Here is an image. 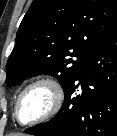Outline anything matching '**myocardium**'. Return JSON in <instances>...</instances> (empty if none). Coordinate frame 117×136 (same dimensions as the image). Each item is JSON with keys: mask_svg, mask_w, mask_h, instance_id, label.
<instances>
[{"mask_svg": "<svg viewBox=\"0 0 117 136\" xmlns=\"http://www.w3.org/2000/svg\"><path fill=\"white\" fill-rule=\"evenodd\" d=\"M38 86H43L46 87L48 90H50L52 94V104L48 109V111L43 115L30 121H22L19 115V109L22 99L27 94V92ZM64 98H65L64 88L61 82L57 78L52 76L40 77L29 83L27 86H25L23 90L20 92L15 105V117L17 121L23 125H33V124L45 122L53 118L60 111L64 102Z\"/></svg>", "mask_w": 117, "mask_h": 136, "instance_id": "myocardium-1", "label": "myocardium"}]
</instances>
